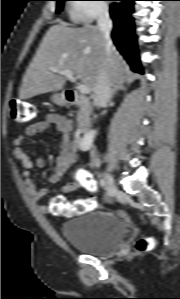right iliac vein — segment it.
<instances>
[{"label":"right iliac vein","mask_w":180,"mask_h":299,"mask_svg":"<svg viewBox=\"0 0 180 299\" xmlns=\"http://www.w3.org/2000/svg\"><path fill=\"white\" fill-rule=\"evenodd\" d=\"M105 182L108 196H114L118 192V188L116 187L114 179L108 169L105 175Z\"/></svg>","instance_id":"1"}]
</instances>
